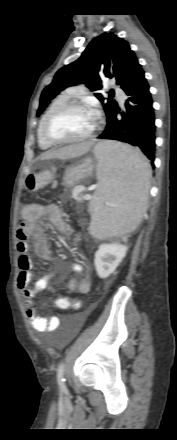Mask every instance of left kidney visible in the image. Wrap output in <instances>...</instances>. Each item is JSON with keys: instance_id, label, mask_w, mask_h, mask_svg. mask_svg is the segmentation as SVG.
Wrapping results in <instances>:
<instances>
[{"instance_id": "obj_1", "label": "left kidney", "mask_w": 177, "mask_h": 440, "mask_svg": "<svg viewBox=\"0 0 177 440\" xmlns=\"http://www.w3.org/2000/svg\"><path fill=\"white\" fill-rule=\"evenodd\" d=\"M128 247L119 243L101 244L95 253L94 265L98 276L107 278L118 267Z\"/></svg>"}]
</instances>
